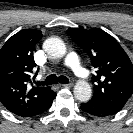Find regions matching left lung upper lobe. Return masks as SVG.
<instances>
[{
  "label": "left lung upper lobe",
  "mask_w": 133,
  "mask_h": 133,
  "mask_svg": "<svg viewBox=\"0 0 133 133\" xmlns=\"http://www.w3.org/2000/svg\"><path fill=\"white\" fill-rule=\"evenodd\" d=\"M72 39L89 55L96 83L90 101L121 110L133 93V64L120 44L101 29L70 28Z\"/></svg>",
  "instance_id": "1"
}]
</instances>
